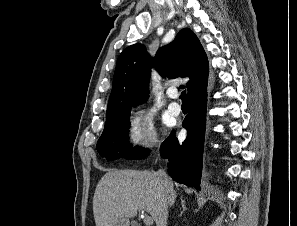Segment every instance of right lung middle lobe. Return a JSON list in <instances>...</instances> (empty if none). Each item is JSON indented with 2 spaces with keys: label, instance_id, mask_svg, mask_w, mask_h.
Returning a JSON list of instances; mask_svg holds the SVG:
<instances>
[{
  "label": "right lung middle lobe",
  "instance_id": "1",
  "mask_svg": "<svg viewBox=\"0 0 297 226\" xmlns=\"http://www.w3.org/2000/svg\"><path fill=\"white\" fill-rule=\"evenodd\" d=\"M131 109H111L106 113L104 131L97 142V150L107 160L121 157L126 159H141L149 155V150L132 147L128 143Z\"/></svg>",
  "mask_w": 297,
  "mask_h": 226
}]
</instances>
